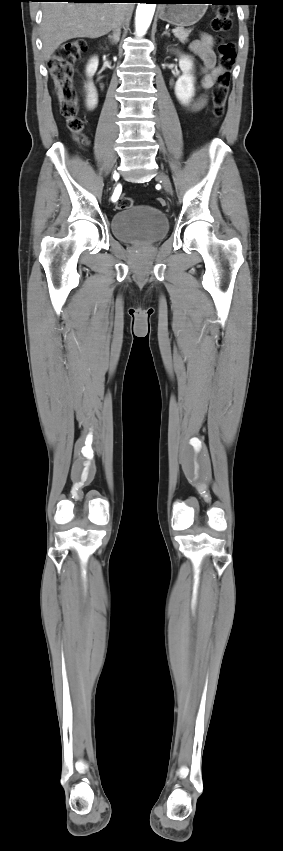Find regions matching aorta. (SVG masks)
<instances>
[{"label":"aorta","instance_id":"aorta-1","mask_svg":"<svg viewBox=\"0 0 283 851\" xmlns=\"http://www.w3.org/2000/svg\"><path fill=\"white\" fill-rule=\"evenodd\" d=\"M155 7L154 3H138L135 17V28L138 35H143L149 28Z\"/></svg>","mask_w":283,"mask_h":851}]
</instances>
